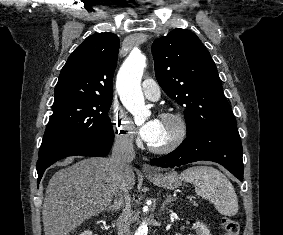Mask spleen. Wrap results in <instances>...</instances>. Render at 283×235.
I'll use <instances>...</instances> for the list:
<instances>
[{
    "label": "spleen",
    "mask_w": 283,
    "mask_h": 235,
    "mask_svg": "<svg viewBox=\"0 0 283 235\" xmlns=\"http://www.w3.org/2000/svg\"><path fill=\"white\" fill-rule=\"evenodd\" d=\"M180 178L193 184L196 194L213 203L220 214H237V194L231 182L219 170L210 166H193L184 170Z\"/></svg>",
    "instance_id": "3e777b00"
}]
</instances>
